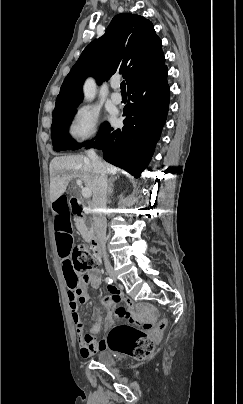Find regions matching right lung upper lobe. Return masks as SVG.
Listing matches in <instances>:
<instances>
[{"mask_svg": "<svg viewBox=\"0 0 243 404\" xmlns=\"http://www.w3.org/2000/svg\"><path fill=\"white\" fill-rule=\"evenodd\" d=\"M164 62L161 40L149 20L130 13L116 15L105 34L84 49L66 76L53 115L82 102V85L88 76L100 83L119 72L129 87L155 73Z\"/></svg>", "mask_w": 243, "mask_h": 404, "instance_id": "obj_1", "label": "right lung upper lobe"}]
</instances>
